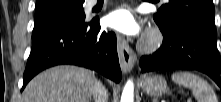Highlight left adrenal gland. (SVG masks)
<instances>
[{
  "mask_svg": "<svg viewBox=\"0 0 221 102\" xmlns=\"http://www.w3.org/2000/svg\"><path fill=\"white\" fill-rule=\"evenodd\" d=\"M158 100H154L153 102H157Z\"/></svg>",
  "mask_w": 221,
  "mask_h": 102,
  "instance_id": "left-adrenal-gland-1",
  "label": "left adrenal gland"
}]
</instances>
